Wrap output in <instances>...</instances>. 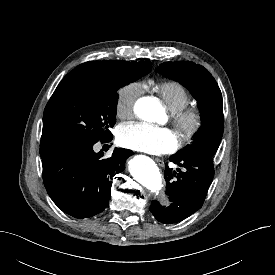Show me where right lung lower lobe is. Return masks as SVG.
Segmentation results:
<instances>
[{"label": "right lung lower lobe", "mask_w": 275, "mask_h": 275, "mask_svg": "<svg viewBox=\"0 0 275 275\" xmlns=\"http://www.w3.org/2000/svg\"><path fill=\"white\" fill-rule=\"evenodd\" d=\"M108 140L107 142L111 141ZM93 145L58 149L42 157L43 182L53 202L75 218L94 216L105 209L113 177L125 169L128 149L115 148L110 158Z\"/></svg>", "instance_id": "right-lung-lower-lobe-1"}]
</instances>
